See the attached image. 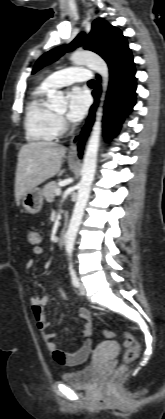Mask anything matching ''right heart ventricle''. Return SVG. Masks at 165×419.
I'll return each mask as SVG.
<instances>
[{
    "label": "right heart ventricle",
    "mask_w": 165,
    "mask_h": 419,
    "mask_svg": "<svg viewBox=\"0 0 165 419\" xmlns=\"http://www.w3.org/2000/svg\"><path fill=\"white\" fill-rule=\"evenodd\" d=\"M51 89L41 83L31 93L24 122L26 136L30 141H52L59 135L56 114L46 101Z\"/></svg>",
    "instance_id": "1"
}]
</instances>
